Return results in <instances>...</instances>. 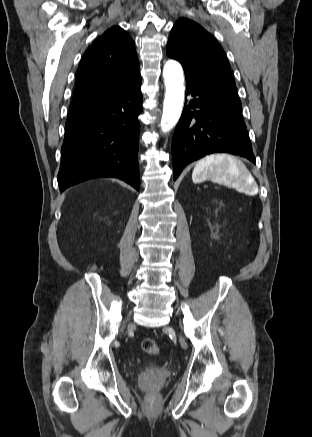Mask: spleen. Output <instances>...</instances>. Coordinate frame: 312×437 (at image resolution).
I'll return each mask as SVG.
<instances>
[{
	"mask_svg": "<svg viewBox=\"0 0 312 437\" xmlns=\"http://www.w3.org/2000/svg\"><path fill=\"white\" fill-rule=\"evenodd\" d=\"M207 178L232 185L248 195L258 192V186L245 164L228 154H212L196 163L192 172L193 182L201 183Z\"/></svg>",
	"mask_w": 312,
	"mask_h": 437,
	"instance_id": "obj_1",
	"label": "spleen"
}]
</instances>
